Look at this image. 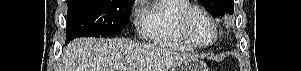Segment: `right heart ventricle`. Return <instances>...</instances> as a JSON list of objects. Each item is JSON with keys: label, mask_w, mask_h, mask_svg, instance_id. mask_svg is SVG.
Instances as JSON below:
<instances>
[{"label": "right heart ventricle", "mask_w": 301, "mask_h": 71, "mask_svg": "<svg viewBox=\"0 0 301 71\" xmlns=\"http://www.w3.org/2000/svg\"><path fill=\"white\" fill-rule=\"evenodd\" d=\"M190 6L186 0H157L149 5L141 20V33L150 43L183 52L196 50L181 34L178 14Z\"/></svg>", "instance_id": "1"}]
</instances>
